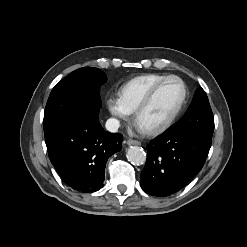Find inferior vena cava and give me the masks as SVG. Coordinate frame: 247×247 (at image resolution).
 <instances>
[{"label": "inferior vena cava", "instance_id": "obj_1", "mask_svg": "<svg viewBox=\"0 0 247 247\" xmlns=\"http://www.w3.org/2000/svg\"><path fill=\"white\" fill-rule=\"evenodd\" d=\"M106 129L109 131V132H117L119 126H120V123L117 119L115 118H110L106 121Z\"/></svg>", "mask_w": 247, "mask_h": 247}]
</instances>
